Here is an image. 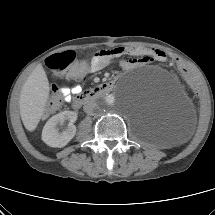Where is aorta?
<instances>
[{
  "label": "aorta",
  "mask_w": 215,
  "mask_h": 215,
  "mask_svg": "<svg viewBox=\"0 0 215 215\" xmlns=\"http://www.w3.org/2000/svg\"><path fill=\"white\" fill-rule=\"evenodd\" d=\"M98 104L102 109H111L115 104V97L113 95H108L98 100Z\"/></svg>",
  "instance_id": "obj_1"
}]
</instances>
